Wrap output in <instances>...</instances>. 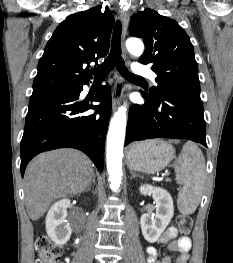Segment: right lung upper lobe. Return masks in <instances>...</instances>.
<instances>
[{
	"instance_id": "cb5924a9",
	"label": "right lung upper lobe",
	"mask_w": 233,
	"mask_h": 263,
	"mask_svg": "<svg viewBox=\"0 0 233 263\" xmlns=\"http://www.w3.org/2000/svg\"><path fill=\"white\" fill-rule=\"evenodd\" d=\"M114 18L101 6L68 16L40 58L31 97L87 84L88 64L107 55Z\"/></svg>"
}]
</instances>
